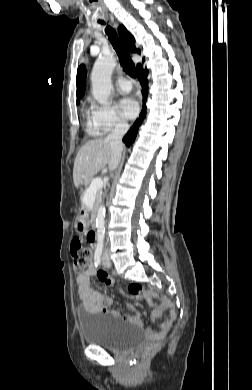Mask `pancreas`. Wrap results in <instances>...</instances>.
Segmentation results:
<instances>
[{
  "instance_id": "pancreas-1",
  "label": "pancreas",
  "mask_w": 252,
  "mask_h": 390,
  "mask_svg": "<svg viewBox=\"0 0 252 390\" xmlns=\"http://www.w3.org/2000/svg\"><path fill=\"white\" fill-rule=\"evenodd\" d=\"M84 197H85V194L82 196V202H80V205H84V206H87L84 202ZM100 192H97L96 195H95V204L98 203V201L100 200Z\"/></svg>"
}]
</instances>
